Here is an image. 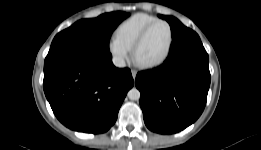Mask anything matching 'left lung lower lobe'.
Returning <instances> with one entry per match:
<instances>
[{"instance_id": "0a47b994", "label": "left lung lower lobe", "mask_w": 261, "mask_h": 150, "mask_svg": "<svg viewBox=\"0 0 261 150\" xmlns=\"http://www.w3.org/2000/svg\"><path fill=\"white\" fill-rule=\"evenodd\" d=\"M209 57L199 36L186 28L173 38L165 62L139 72L135 84L148 129L173 134L194 123L210 86Z\"/></svg>"}]
</instances>
